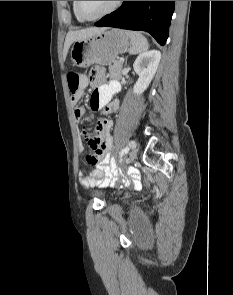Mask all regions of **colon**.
Instances as JSON below:
<instances>
[{
  "instance_id": "1",
  "label": "colon",
  "mask_w": 233,
  "mask_h": 295,
  "mask_svg": "<svg viewBox=\"0 0 233 295\" xmlns=\"http://www.w3.org/2000/svg\"><path fill=\"white\" fill-rule=\"evenodd\" d=\"M67 80L72 96L83 92L89 84V80L77 72H69L67 74ZM87 145L89 153L86 159L88 163L95 164L102 152L101 138L98 132H93L87 136Z\"/></svg>"
}]
</instances>
